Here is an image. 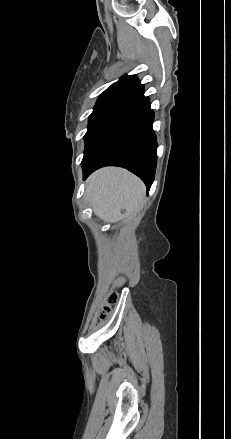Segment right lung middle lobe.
Segmentation results:
<instances>
[{
  "mask_svg": "<svg viewBox=\"0 0 231 439\" xmlns=\"http://www.w3.org/2000/svg\"><path fill=\"white\" fill-rule=\"evenodd\" d=\"M135 97L98 100L89 117L88 131L84 136L86 156L106 135L141 115Z\"/></svg>",
  "mask_w": 231,
  "mask_h": 439,
  "instance_id": "1",
  "label": "right lung middle lobe"
}]
</instances>
